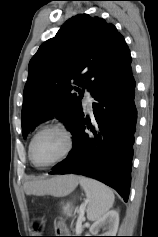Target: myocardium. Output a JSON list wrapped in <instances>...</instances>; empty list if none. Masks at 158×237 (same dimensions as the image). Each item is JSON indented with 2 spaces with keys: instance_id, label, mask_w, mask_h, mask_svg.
<instances>
[{
  "instance_id": "1",
  "label": "myocardium",
  "mask_w": 158,
  "mask_h": 237,
  "mask_svg": "<svg viewBox=\"0 0 158 237\" xmlns=\"http://www.w3.org/2000/svg\"><path fill=\"white\" fill-rule=\"evenodd\" d=\"M49 130H57L64 135L65 140H66V148L63 151V153L58 158L54 159L53 161L48 162L46 164H38L33 158V153H32L33 152V145H34L36 138L41 133H43L45 131H49ZM73 145H74L73 135L66 125H64L63 123H50V124H47V125L41 127L31 138V141L29 144V150H28L29 159H30L31 163L36 168L46 169V168H49V167L63 161L65 158H67V156L71 153V151L73 149Z\"/></svg>"
}]
</instances>
